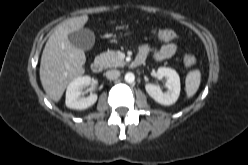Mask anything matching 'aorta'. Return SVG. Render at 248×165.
Returning <instances> with one entry per match:
<instances>
[{
	"instance_id": "aorta-1",
	"label": "aorta",
	"mask_w": 248,
	"mask_h": 165,
	"mask_svg": "<svg viewBox=\"0 0 248 165\" xmlns=\"http://www.w3.org/2000/svg\"><path fill=\"white\" fill-rule=\"evenodd\" d=\"M134 80H135V76H134L133 73L128 72V73L125 74V81H126L127 83H133Z\"/></svg>"
}]
</instances>
